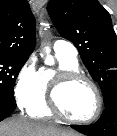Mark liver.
Returning <instances> with one entry per match:
<instances>
[{
  "label": "liver",
  "instance_id": "obj_1",
  "mask_svg": "<svg viewBox=\"0 0 117 136\" xmlns=\"http://www.w3.org/2000/svg\"><path fill=\"white\" fill-rule=\"evenodd\" d=\"M0 136H80L56 126L13 117L0 123Z\"/></svg>",
  "mask_w": 117,
  "mask_h": 136
}]
</instances>
